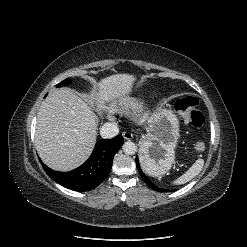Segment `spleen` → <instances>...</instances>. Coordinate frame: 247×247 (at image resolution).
<instances>
[{"label":"spleen","mask_w":247,"mask_h":247,"mask_svg":"<svg viewBox=\"0 0 247 247\" xmlns=\"http://www.w3.org/2000/svg\"><path fill=\"white\" fill-rule=\"evenodd\" d=\"M204 165V160L198 159L182 176L177 178L175 184H185L200 173Z\"/></svg>","instance_id":"3e777b00"}]
</instances>
